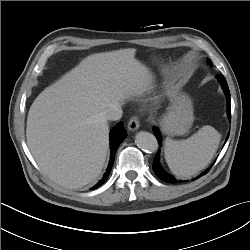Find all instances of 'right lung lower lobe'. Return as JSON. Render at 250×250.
Masks as SVG:
<instances>
[{
    "label": "right lung lower lobe",
    "instance_id": "right-lung-lower-lobe-1",
    "mask_svg": "<svg viewBox=\"0 0 250 250\" xmlns=\"http://www.w3.org/2000/svg\"><path fill=\"white\" fill-rule=\"evenodd\" d=\"M125 137H126V131L123 128L122 122H120L110 132L111 158L109 165L102 179L92 189H96L107 180L113 166L116 150Z\"/></svg>",
    "mask_w": 250,
    "mask_h": 250
}]
</instances>
